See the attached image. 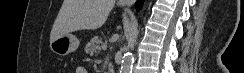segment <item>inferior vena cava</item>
Instances as JSON below:
<instances>
[{"instance_id": "inferior-vena-cava-1", "label": "inferior vena cava", "mask_w": 244, "mask_h": 73, "mask_svg": "<svg viewBox=\"0 0 244 73\" xmlns=\"http://www.w3.org/2000/svg\"><path fill=\"white\" fill-rule=\"evenodd\" d=\"M124 3L127 4V5H131L132 4V0H125Z\"/></svg>"}]
</instances>
